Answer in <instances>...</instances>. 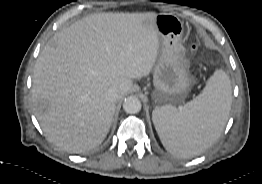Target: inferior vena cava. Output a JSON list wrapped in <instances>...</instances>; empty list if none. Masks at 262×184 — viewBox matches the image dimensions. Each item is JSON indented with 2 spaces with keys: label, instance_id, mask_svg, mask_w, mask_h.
<instances>
[{
  "label": "inferior vena cava",
  "instance_id": "1",
  "mask_svg": "<svg viewBox=\"0 0 262 184\" xmlns=\"http://www.w3.org/2000/svg\"><path fill=\"white\" fill-rule=\"evenodd\" d=\"M106 98L110 102H116L119 98L118 91L115 88H110L106 93Z\"/></svg>",
  "mask_w": 262,
  "mask_h": 184
}]
</instances>
